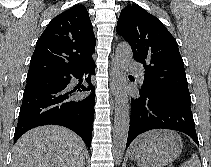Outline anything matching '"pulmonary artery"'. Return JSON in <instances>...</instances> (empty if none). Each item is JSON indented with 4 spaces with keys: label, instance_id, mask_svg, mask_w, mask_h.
Returning a JSON list of instances; mask_svg holds the SVG:
<instances>
[{
    "label": "pulmonary artery",
    "instance_id": "e3ab8cb5",
    "mask_svg": "<svg viewBox=\"0 0 211 167\" xmlns=\"http://www.w3.org/2000/svg\"><path fill=\"white\" fill-rule=\"evenodd\" d=\"M129 66L132 70H135V71H139V68L137 67V65L133 62H130L129 63Z\"/></svg>",
    "mask_w": 211,
    "mask_h": 167
}]
</instances>
